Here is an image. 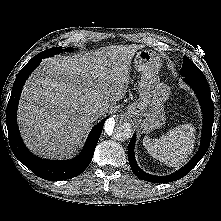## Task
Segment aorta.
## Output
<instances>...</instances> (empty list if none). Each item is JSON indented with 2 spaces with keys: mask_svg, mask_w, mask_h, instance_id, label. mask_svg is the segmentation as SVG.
I'll list each match as a JSON object with an SVG mask.
<instances>
[{
  "mask_svg": "<svg viewBox=\"0 0 221 221\" xmlns=\"http://www.w3.org/2000/svg\"><path fill=\"white\" fill-rule=\"evenodd\" d=\"M104 130L109 137L124 141L132 136L133 125L127 116L117 115L106 120Z\"/></svg>",
  "mask_w": 221,
  "mask_h": 221,
  "instance_id": "aorta-1",
  "label": "aorta"
}]
</instances>
